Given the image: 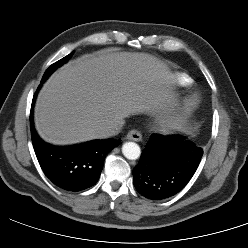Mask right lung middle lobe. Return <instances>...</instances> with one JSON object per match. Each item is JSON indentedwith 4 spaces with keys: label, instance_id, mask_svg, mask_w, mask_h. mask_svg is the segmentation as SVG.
Returning <instances> with one entry per match:
<instances>
[{
    "label": "right lung middle lobe",
    "instance_id": "dd1d6c3e",
    "mask_svg": "<svg viewBox=\"0 0 248 248\" xmlns=\"http://www.w3.org/2000/svg\"><path fill=\"white\" fill-rule=\"evenodd\" d=\"M73 55V52H71L69 55L66 57L62 58L61 60L57 61L56 63L52 64L44 73L42 80L45 81L53 71H55L58 67L66 63L69 58Z\"/></svg>",
    "mask_w": 248,
    "mask_h": 248
}]
</instances>
